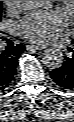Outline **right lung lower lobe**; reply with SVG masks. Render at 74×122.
Returning a JSON list of instances; mask_svg holds the SVG:
<instances>
[{
    "instance_id": "obj_1",
    "label": "right lung lower lobe",
    "mask_w": 74,
    "mask_h": 122,
    "mask_svg": "<svg viewBox=\"0 0 74 122\" xmlns=\"http://www.w3.org/2000/svg\"><path fill=\"white\" fill-rule=\"evenodd\" d=\"M24 51L25 47L22 44L15 46L11 51L0 50V90L11 84L18 59Z\"/></svg>"
}]
</instances>
